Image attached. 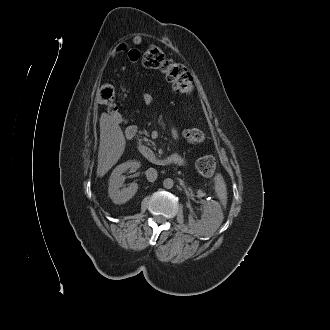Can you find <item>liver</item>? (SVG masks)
Segmentation results:
<instances>
[{"label":"liver","mask_w":330,"mask_h":330,"mask_svg":"<svg viewBox=\"0 0 330 330\" xmlns=\"http://www.w3.org/2000/svg\"><path fill=\"white\" fill-rule=\"evenodd\" d=\"M100 123V144L98 151L97 176H104L122 156L126 140L118 123L107 114H102Z\"/></svg>","instance_id":"1"}]
</instances>
